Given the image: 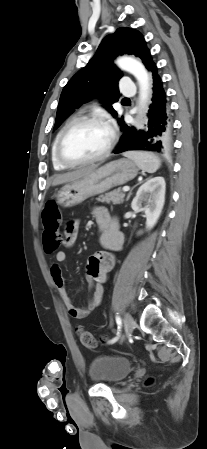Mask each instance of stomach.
Wrapping results in <instances>:
<instances>
[{"instance_id":"obj_1","label":"stomach","mask_w":207,"mask_h":449,"mask_svg":"<svg viewBox=\"0 0 207 449\" xmlns=\"http://www.w3.org/2000/svg\"><path fill=\"white\" fill-rule=\"evenodd\" d=\"M138 170L136 163L130 159L111 161L63 186L56 194V202L63 207L76 206L90 197L134 179Z\"/></svg>"}]
</instances>
